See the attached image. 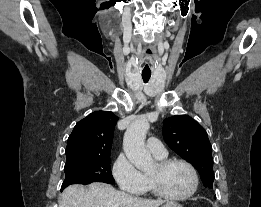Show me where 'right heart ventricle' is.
Returning <instances> with one entry per match:
<instances>
[{"instance_id": "1", "label": "right heart ventricle", "mask_w": 261, "mask_h": 207, "mask_svg": "<svg viewBox=\"0 0 261 207\" xmlns=\"http://www.w3.org/2000/svg\"><path fill=\"white\" fill-rule=\"evenodd\" d=\"M157 159L161 160V159H164V158H157ZM147 180H148V185H147V189H146V190H152V187H151L150 181H149L148 178H147Z\"/></svg>"}]
</instances>
